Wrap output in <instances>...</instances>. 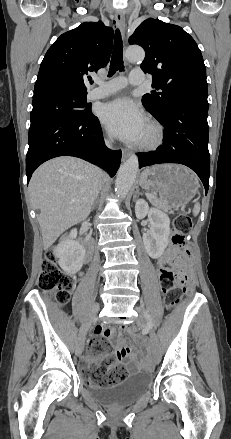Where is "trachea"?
<instances>
[{
  "mask_svg": "<svg viewBox=\"0 0 231 439\" xmlns=\"http://www.w3.org/2000/svg\"><path fill=\"white\" fill-rule=\"evenodd\" d=\"M118 70L123 71L124 65H123V44H122L120 31L117 29L115 32V41H114V47H113L108 76L111 77Z\"/></svg>",
  "mask_w": 231,
  "mask_h": 439,
  "instance_id": "trachea-1",
  "label": "trachea"
}]
</instances>
